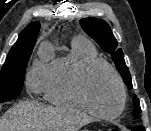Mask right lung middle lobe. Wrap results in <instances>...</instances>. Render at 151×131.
Returning a JSON list of instances; mask_svg holds the SVG:
<instances>
[{
  "label": "right lung middle lobe",
  "mask_w": 151,
  "mask_h": 131,
  "mask_svg": "<svg viewBox=\"0 0 151 131\" xmlns=\"http://www.w3.org/2000/svg\"><path fill=\"white\" fill-rule=\"evenodd\" d=\"M35 44L11 49L0 71V103L17 97L23 88L25 69Z\"/></svg>",
  "instance_id": "1"
}]
</instances>
